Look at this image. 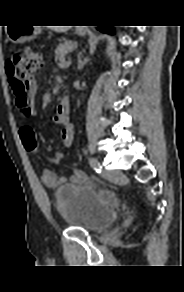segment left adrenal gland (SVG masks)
<instances>
[{
  "label": "left adrenal gland",
  "instance_id": "obj_1",
  "mask_svg": "<svg viewBox=\"0 0 184 292\" xmlns=\"http://www.w3.org/2000/svg\"><path fill=\"white\" fill-rule=\"evenodd\" d=\"M87 61H88L87 58H84L83 60L79 59V61H78V68L80 70H82Z\"/></svg>",
  "mask_w": 184,
  "mask_h": 292
}]
</instances>
